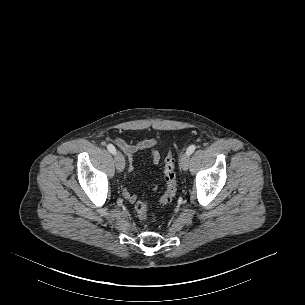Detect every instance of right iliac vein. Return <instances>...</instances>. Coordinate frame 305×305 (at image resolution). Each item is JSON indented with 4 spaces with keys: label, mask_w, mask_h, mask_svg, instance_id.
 <instances>
[{
    "label": "right iliac vein",
    "mask_w": 305,
    "mask_h": 305,
    "mask_svg": "<svg viewBox=\"0 0 305 305\" xmlns=\"http://www.w3.org/2000/svg\"><path fill=\"white\" fill-rule=\"evenodd\" d=\"M115 162L118 172H122L125 167V159L120 152L115 153Z\"/></svg>",
    "instance_id": "63e3f726"
}]
</instances>
